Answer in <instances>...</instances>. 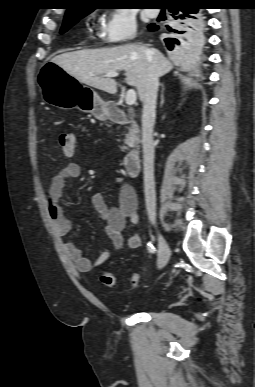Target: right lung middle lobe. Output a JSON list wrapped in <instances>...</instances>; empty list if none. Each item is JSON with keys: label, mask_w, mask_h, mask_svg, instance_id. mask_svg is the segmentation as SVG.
I'll list each match as a JSON object with an SVG mask.
<instances>
[{"label": "right lung middle lobe", "mask_w": 255, "mask_h": 387, "mask_svg": "<svg viewBox=\"0 0 255 387\" xmlns=\"http://www.w3.org/2000/svg\"><path fill=\"white\" fill-rule=\"evenodd\" d=\"M91 11L83 12V13H68L65 14L63 25L61 28L60 33L66 32L68 29H70L80 18H83L87 14H89Z\"/></svg>", "instance_id": "dd1d6c3e"}]
</instances>
